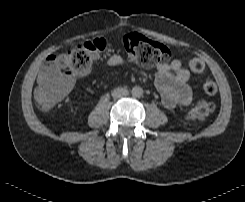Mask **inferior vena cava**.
Returning <instances> with one entry per match:
<instances>
[{
  "label": "inferior vena cava",
  "mask_w": 245,
  "mask_h": 202,
  "mask_svg": "<svg viewBox=\"0 0 245 202\" xmlns=\"http://www.w3.org/2000/svg\"><path fill=\"white\" fill-rule=\"evenodd\" d=\"M127 95H128V91L125 88H115L112 91V97L115 99L125 97Z\"/></svg>",
  "instance_id": "602c4592"
}]
</instances>
